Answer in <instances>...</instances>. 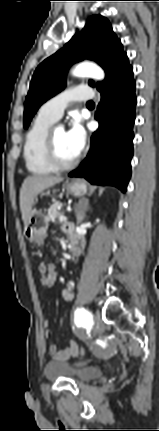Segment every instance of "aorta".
<instances>
[{"mask_svg": "<svg viewBox=\"0 0 159 431\" xmlns=\"http://www.w3.org/2000/svg\"><path fill=\"white\" fill-rule=\"evenodd\" d=\"M73 75L77 77H91L96 80H102L104 78L103 70L92 63H81L74 70Z\"/></svg>", "mask_w": 159, "mask_h": 431, "instance_id": "762f6f07", "label": "aorta"}]
</instances>
